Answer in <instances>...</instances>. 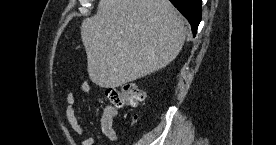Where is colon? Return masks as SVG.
Instances as JSON below:
<instances>
[{"label": "colon", "instance_id": "1", "mask_svg": "<svg viewBox=\"0 0 276 145\" xmlns=\"http://www.w3.org/2000/svg\"><path fill=\"white\" fill-rule=\"evenodd\" d=\"M106 98L112 107L105 109V114H111L113 107H139L145 101V93L133 83H126L120 88H109Z\"/></svg>", "mask_w": 276, "mask_h": 145}]
</instances>
